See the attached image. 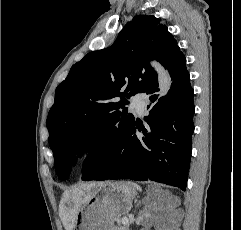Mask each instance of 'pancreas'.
Masks as SVG:
<instances>
[{"instance_id": "pancreas-1", "label": "pancreas", "mask_w": 241, "mask_h": 230, "mask_svg": "<svg viewBox=\"0 0 241 230\" xmlns=\"http://www.w3.org/2000/svg\"><path fill=\"white\" fill-rule=\"evenodd\" d=\"M114 230H129V225L121 224L118 227H115Z\"/></svg>"}]
</instances>
